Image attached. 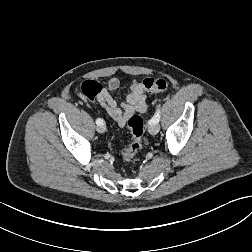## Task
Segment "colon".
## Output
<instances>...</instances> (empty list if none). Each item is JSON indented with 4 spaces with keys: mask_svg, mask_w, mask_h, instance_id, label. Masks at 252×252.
I'll return each mask as SVG.
<instances>
[{
    "mask_svg": "<svg viewBox=\"0 0 252 252\" xmlns=\"http://www.w3.org/2000/svg\"><path fill=\"white\" fill-rule=\"evenodd\" d=\"M146 91L163 92L168 84L162 78L147 77L141 81ZM102 86L98 81L86 80L81 85L82 95L90 100H94L100 94ZM127 126L132 134V141L122 150V158L126 163L133 162L135 155L142 147V137L144 134L143 120L138 115L131 116L127 121Z\"/></svg>",
    "mask_w": 252,
    "mask_h": 252,
    "instance_id": "1",
    "label": "colon"
}]
</instances>
